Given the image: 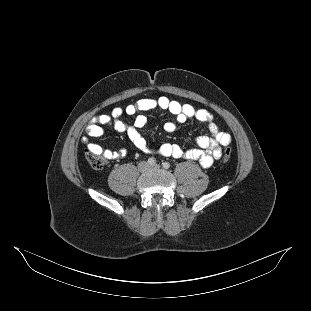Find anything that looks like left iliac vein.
Instances as JSON below:
<instances>
[{
  "label": "left iliac vein",
  "mask_w": 311,
  "mask_h": 311,
  "mask_svg": "<svg viewBox=\"0 0 311 311\" xmlns=\"http://www.w3.org/2000/svg\"><path fill=\"white\" fill-rule=\"evenodd\" d=\"M160 166L158 164L150 166L151 169H158Z\"/></svg>",
  "instance_id": "4c4485c4"
}]
</instances>
